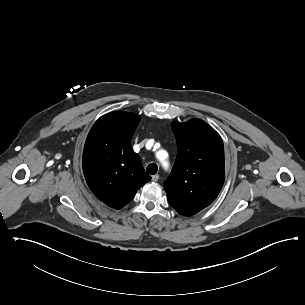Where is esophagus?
Listing matches in <instances>:
<instances>
[{"instance_id": "obj_1", "label": "esophagus", "mask_w": 305, "mask_h": 305, "mask_svg": "<svg viewBox=\"0 0 305 305\" xmlns=\"http://www.w3.org/2000/svg\"><path fill=\"white\" fill-rule=\"evenodd\" d=\"M158 179H159V175H153V176L151 177V181H152V182H156V181H158Z\"/></svg>"}]
</instances>
